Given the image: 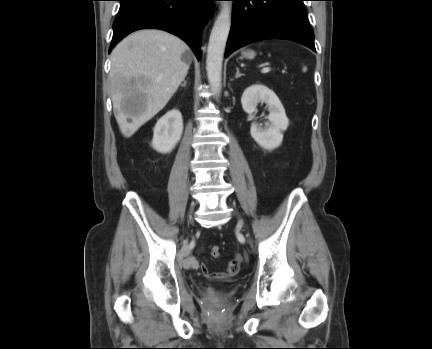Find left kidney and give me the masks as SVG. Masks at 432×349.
<instances>
[{"label": "left kidney", "mask_w": 432, "mask_h": 349, "mask_svg": "<svg viewBox=\"0 0 432 349\" xmlns=\"http://www.w3.org/2000/svg\"><path fill=\"white\" fill-rule=\"evenodd\" d=\"M260 102L268 106V122L265 123V127L252 123L250 133L262 148L272 150L282 143L283 132L287 129L289 120L281 101L271 89L261 84H254L245 89L241 104L247 114L253 117Z\"/></svg>", "instance_id": "5707ae66"}]
</instances>
